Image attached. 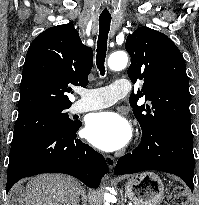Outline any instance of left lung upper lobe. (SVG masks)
Here are the masks:
<instances>
[{"instance_id": "obj_1", "label": "left lung upper lobe", "mask_w": 199, "mask_h": 205, "mask_svg": "<svg viewBox=\"0 0 199 205\" xmlns=\"http://www.w3.org/2000/svg\"><path fill=\"white\" fill-rule=\"evenodd\" d=\"M131 56L128 76L143 87L130 96V105L143 134L161 131L169 123L191 124L189 79L183 55L165 34L146 26L128 35ZM145 103L138 106L139 98Z\"/></svg>"}]
</instances>
